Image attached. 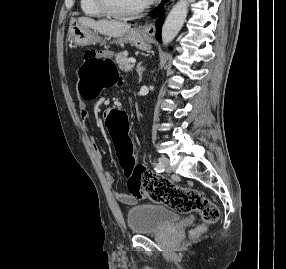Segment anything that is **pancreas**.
Instances as JSON below:
<instances>
[{
	"label": "pancreas",
	"mask_w": 286,
	"mask_h": 269,
	"mask_svg": "<svg viewBox=\"0 0 286 269\" xmlns=\"http://www.w3.org/2000/svg\"><path fill=\"white\" fill-rule=\"evenodd\" d=\"M127 56V52L119 53L116 55V62L118 63L119 68L125 72H128L133 68V65L129 62Z\"/></svg>",
	"instance_id": "1"
}]
</instances>
